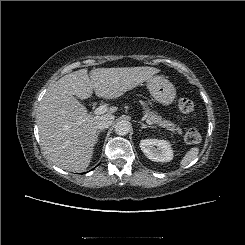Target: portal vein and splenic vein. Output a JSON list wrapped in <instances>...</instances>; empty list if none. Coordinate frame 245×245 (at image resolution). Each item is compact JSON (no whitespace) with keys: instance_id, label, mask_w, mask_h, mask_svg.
<instances>
[{"instance_id":"obj_1","label":"portal vein and splenic vein","mask_w":245,"mask_h":245,"mask_svg":"<svg viewBox=\"0 0 245 245\" xmlns=\"http://www.w3.org/2000/svg\"><path fill=\"white\" fill-rule=\"evenodd\" d=\"M107 111H108V107H107L106 104H104V105H101V106L97 107V108L94 110V114H96V115H101V114H104V113L107 112ZM146 122H147L149 125H152V124H153V122L150 121L149 119H146Z\"/></svg>"}]
</instances>
